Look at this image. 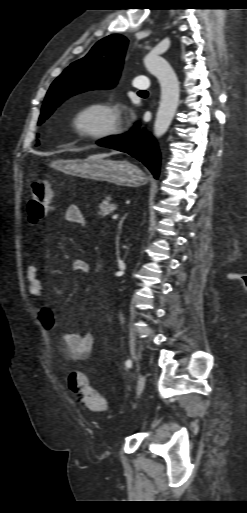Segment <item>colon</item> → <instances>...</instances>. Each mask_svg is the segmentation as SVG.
<instances>
[{"label": "colon", "mask_w": 247, "mask_h": 513, "mask_svg": "<svg viewBox=\"0 0 247 513\" xmlns=\"http://www.w3.org/2000/svg\"><path fill=\"white\" fill-rule=\"evenodd\" d=\"M53 200V188L49 182L42 177L32 181L27 201V215L32 223L40 222L51 210ZM68 384L89 409L96 412H106L108 403L106 399L96 391L88 381L85 373L72 371L68 375Z\"/></svg>", "instance_id": "obj_1"}]
</instances>
